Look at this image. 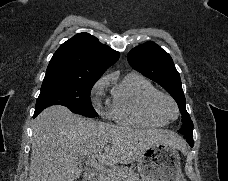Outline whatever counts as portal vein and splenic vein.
<instances>
[{
    "instance_id": "portal-vein-and-splenic-vein-1",
    "label": "portal vein and splenic vein",
    "mask_w": 228,
    "mask_h": 181,
    "mask_svg": "<svg viewBox=\"0 0 228 181\" xmlns=\"http://www.w3.org/2000/svg\"><path fill=\"white\" fill-rule=\"evenodd\" d=\"M87 167H92L94 171H97L99 173L100 177L102 173H108V169L104 167V165H100V163H97L96 157H89V159H86L85 161ZM106 179H110V177H106Z\"/></svg>"
}]
</instances>
